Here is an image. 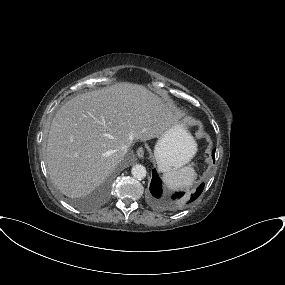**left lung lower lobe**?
<instances>
[{"label":"left lung lower lobe","mask_w":285,"mask_h":285,"mask_svg":"<svg viewBox=\"0 0 285 285\" xmlns=\"http://www.w3.org/2000/svg\"><path fill=\"white\" fill-rule=\"evenodd\" d=\"M212 157L213 159H215V149L212 151ZM152 180H151V184H150V192H151V195H152V200L155 204H158V205H175L177 207H183L185 206V204H189L191 202H193L194 200H196L199 195L202 193L203 191V188H204V183H202L198 188H197V191L192 194L190 196V198L186 201V199H180L184 193L183 192H180V193H175L173 196H172V199L173 200H176V199H180V200H177L175 202H172V201H165L163 198H162V188H161V180L159 178V176L157 175V172L155 169H153L152 171Z\"/></svg>","instance_id":"1"}]
</instances>
